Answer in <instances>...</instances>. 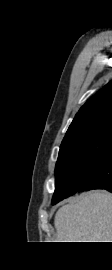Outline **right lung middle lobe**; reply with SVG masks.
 <instances>
[{
  "label": "right lung middle lobe",
  "mask_w": 112,
  "mask_h": 270,
  "mask_svg": "<svg viewBox=\"0 0 112 270\" xmlns=\"http://www.w3.org/2000/svg\"><path fill=\"white\" fill-rule=\"evenodd\" d=\"M111 143L112 123L95 126L62 142L55 168L52 204L83 191L84 172L104 155Z\"/></svg>",
  "instance_id": "1"
}]
</instances>
